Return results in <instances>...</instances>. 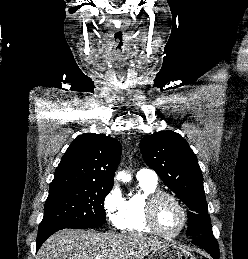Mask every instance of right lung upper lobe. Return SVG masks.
<instances>
[{"label":"right lung upper lobe","mask_w":248,"mask_h":259,"mask_svg":"<svg viewBox=\"0 0 248 259\" xmlns=\"http://www.w3.org/2000/svg\"><path fill=\"white\" fill-rule=\"evenodd\" d=\"M121 144L103 134H82L68 147L59 163L53 185H112L121 156Z\"/></svg>","instance_id":"obj_1"}]
</instances>
